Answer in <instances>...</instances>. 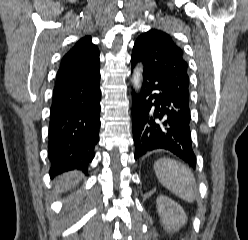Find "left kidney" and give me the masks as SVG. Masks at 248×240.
<instances>
[{"label":"left kidney","mask_w":248,"mask_h":240,"mask_svg":"<svg viewBox=\"0 0 248 240\" xmlns=\"http://www.w3.org/2000/svg\"><path fill=\"white\" fill-rule=\"evenodd\" d=\"M156 203L165 230L177 231L186 224L187 216L178 203L164 195L157 197Z\"/></svg>","instance_id":"5707ae66"}]
</instances>
